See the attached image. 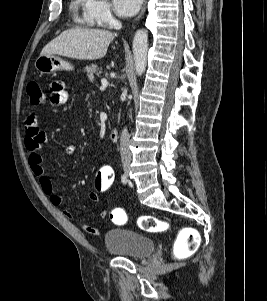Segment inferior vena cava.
Segmentation results:
<instances>
[{
  "label": "inferior vena cava",
  "mask_w": 267,
  "mask_h": 301,
  "mask_svg": "<svg viewBox=\"0 0 267 301\" xmlns=\"http://www.w3.org/2000/svg\"><path fill=\"white\" fill-rule=\"evenodd\" d=\"M122 25L119 21L114 22V28L119 30L121 29ZM129 133L127 128H124L120 137V154H121V161L123 164H129L131 161V152L129 149Z\"/></svg>",
  "instance_id": "602c4592"
}]
</instances>
